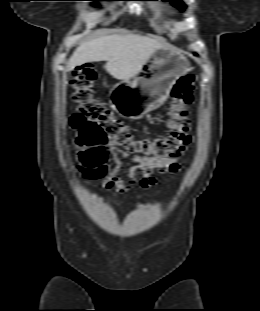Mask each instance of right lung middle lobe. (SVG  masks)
<instances>
[{
	"label": "right lung middle lobe",
	"mask_w": 260,
	"mask_h": 311,
	"mask_svg": "<svg viewBox=\"0 0 260 311\" xmlns=\"http://www.w3.org/2000/svg\"><path fill=\"white\" fill-rule=\"evenodd\" d=\"M88 1H121V0H88Z\"/></svg>",
	"instance_id": "right-lung-middle-lobe-1"
}]
</instances>
